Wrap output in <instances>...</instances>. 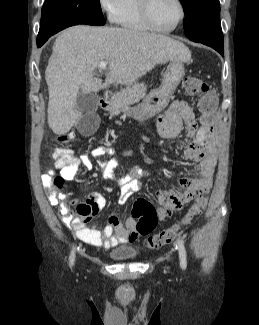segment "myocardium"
I'll return each mask as SVG.
<instances>
[{
  "mask_svg": "<svg viewBox=\"0 0 259 325\" xmlns=\"http://www.w3.org/2000/svg\"><path fill=\"white\" fill-rule=\"evenodd\" d=\"M139 2H140V11H141L142 18L151 30H154L157 32H162V33H170V32H173L174 30H176L181 25L183 20L185 19V15H186L185 5L182 0H176L177 4L179 6V9H180V15H179L178 20L170 28L158 27L153 22L152 17H151V13H150L151 0H139Z\"/></svg>",
  "mask_w": 259,
  "mask_h": 325,
  "instance_id": "obj_1",
  "label": "myocardium"
}]
</instances>
